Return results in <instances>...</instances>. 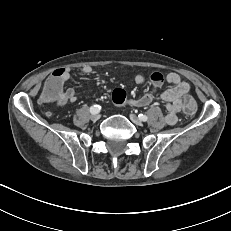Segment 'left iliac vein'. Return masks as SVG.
<instances>
[{
    "label": "left iliac vein",
    "mask_w": 231,
    "mask_h": 231,
    "mask_svg": "<svg viewBox=\"0 0 231 231\" xmlns=\"http://www.w3.org/2000/svg\"><path fill=\"white\" fill-rule=\"evenodd\" d=\"M131 121L136 125H142V120L135 114H130Z\"/></svg>",
    "instance_id": "1"
}]
</instances>
